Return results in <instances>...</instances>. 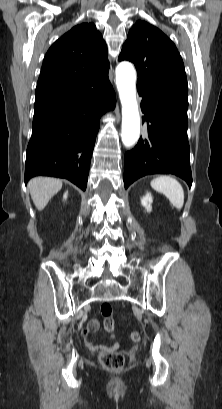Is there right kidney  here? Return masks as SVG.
<instances>
[{"label": "right kidney", "instance_id": "ca27d5eb", "mask_svg": "<svg viewBox=\"0 0 222 409\" xmlns=\"http://www.w3.org/2000/svg\"><path fill=\"white\" fill-rule=\"evenodd\" d=\"M67 194H68V192H66V193L64 194V196H63L64 199L67 198Z\"/></svg>", "mask_w": 222, "mask_h": 409}]
</instances>
